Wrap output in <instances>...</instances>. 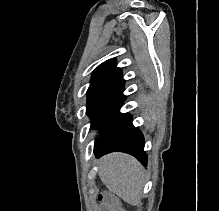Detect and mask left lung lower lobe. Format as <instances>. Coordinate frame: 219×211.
Here are the masks:
<instances>
[{
  "label": "left lung lower lobe",
  "mask_w": 219,
  "mask_h": 211,
  "mask_svg": "<svg viewBox=\"0 0 219 211\" xmlns=\"http://www.w3.org/2000/svg\"><path fill=\"white\" fill-rule=\"evenodd\" d=\"M114 151L131 154L147 166L143 134L133 126L132 117L129 114H126L111 132L95 141L94 153L97 158Z\"/></svg>",
  "instance_id": "1"
}]
</instances>
